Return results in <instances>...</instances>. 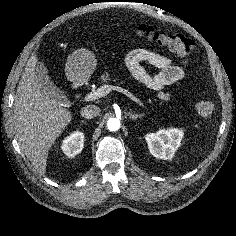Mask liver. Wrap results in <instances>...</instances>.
<instances>
[{"label": "liver", "instance_id": "6515ba94", "mask_svg": "<svg viewBox=\"0 0 236 236\" xmlns=\"http://www.w3.org/2000/svg\"><path fill=\"white\" fill-rule=\"evenodd\" d=\"M37 63L34 54L19 81L14 99V129L21 150L37 172L44 175L48 151L72 120V113L41 91L34 74Z\"/></svg>", "mask_w": 236, "mask_h": 236}]
</instances>
